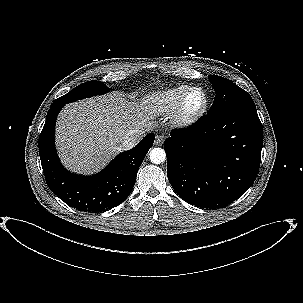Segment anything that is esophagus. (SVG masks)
I'll use <instances>...</instances> for the list:
<instances>
[{
	"label": "esophagus",
	"instance_id": "obj_1",
	"mask_svg": "<svg viewBox=\"0 0 303 303\" xmlns=\"http://www.w3.org/2000/svg\"><path fill=\"white\" fill-rule=\"evenodd\" d=\"M164 143V136L162 135H157L155 137V145L161 146Z\"/></svg>",
	"mask_w": 303,
	"mask_h": 303
}]
</instances>
